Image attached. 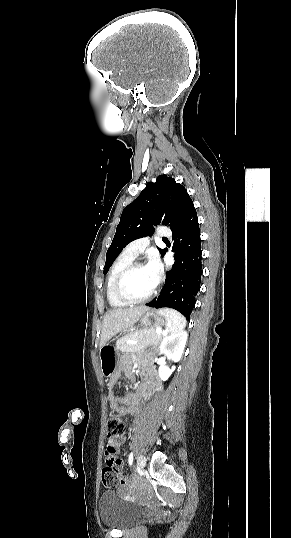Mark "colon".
<instances>
[{"mask_svg": "<svg viewBox=\"0 0 291 538\" xmlns=\"http://www.w3.org/2000/svg\"><path fill=\"white\" fill-rule=\"evenodd\" d=\"M123 432L122 415L116 410H112L107 425L106 467L101 474L102 482L108 488L127 483V478L123 476V464L116 456L117 439Z\"/></svg>", "mask_w": 291, "mask_h": 538, "instance_id": "1", "label": "colon"}]
</instances>
